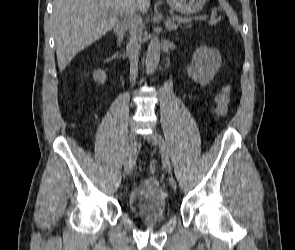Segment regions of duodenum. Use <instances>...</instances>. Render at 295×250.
Here are the masks:
<instances>
[{"label":"duodenum","instance_id":"duodenum-1","mask_svg":"<svg viewBox=\"0 0 295 250\" xmlns=\"http://www.w3.org/2000/svg\"><path fill=\"white\" fill-rule=\"evenodd\" d=\"M125 32L126 25L124 23H118L115 26L116 44L118 47H121L123 45Z\"/></svg>","mask_w":295,"mask_h":250}]
</instances>
